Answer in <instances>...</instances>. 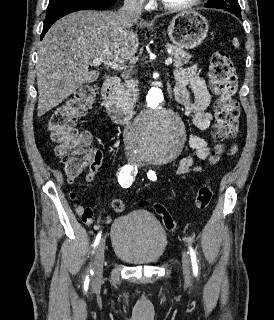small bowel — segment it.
Instances as JSON below:
<instances>
[{
  "mask_svg": "<svg viewBox=\"0 0 274 320\" xmlns=\"http://www.w3.org/2000/svg\"><path fill=\"white\" fill-rule=\"evenodd\" d=\"M191 86L194 97L192 98L187 90ZM174 95L176 100L183 106L186 115L192 120L194 127L198 130H207L212 122V113L209 111L211 95L205 80L198 74L195 66L181 67L174 73ZM188 145L193 150L192 154L183 156L176 168V174L184 178L193 172L201 171L195 165L196 160H206L212 153L205 138L189 134ZM235 150L231 147L230 153ZM84 161H88V168L85 174V182L90 184L103 164V153L97 148H91ZM71 198H75L71 197ZM75 212L86 225L93 223V211L90 207L75 205Z\"/></svg>",
  "mask_w": 274,
  "mask_h": 320,
  "instance_id": "c3829d8e",
  "label": "small bowel"
}]
</instances>
